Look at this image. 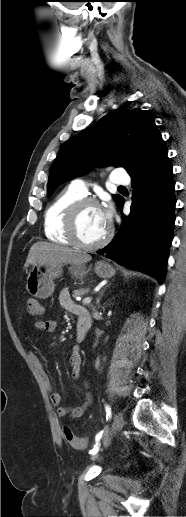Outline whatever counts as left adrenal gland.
Here are the masks:
<instances>
[{
    "instance_id": "1",
    "label": "left adrenal gland",
    "mask_w": 186,
    "mask_h": 517,
    "mask_svg": "<svg viewBox=\"0 0 186 517\" xmlns=\"http://www.w3.org/2000/svg\"><path fill=\"white\" fill-rule=\"evenodd\" d=\"M100 295H101V296L103 295V291H101ZM100 299H101V298H100V297H98V299H97V304L100 302Z\"/></svg>"
}]
</instances>
